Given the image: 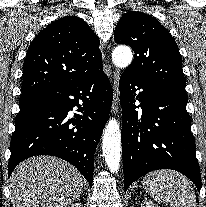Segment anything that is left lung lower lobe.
<instances>
[{
  "instance_id": "1",
  "label": "left lung lower lobe",
  "mask_w": 206,
  "mask_h": 207,
  "mask_svg": "<svg viewBox=\"0 0 206 207\" xmlns=\"http://www.w3.org/2000/svg\"><path fill=\"white\" fill-rule=\"evenodd\" d=\"M119 88L125 190L150 171L173 169L190 178L200 191V167L186 110L187 94L124 73ZM136 100L141 103L142 114L135 110Z\"/></svg>"
}]
</instances>
